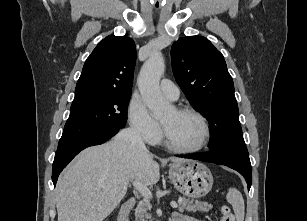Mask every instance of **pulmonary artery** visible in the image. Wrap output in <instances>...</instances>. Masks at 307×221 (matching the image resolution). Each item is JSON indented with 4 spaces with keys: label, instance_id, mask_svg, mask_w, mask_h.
Instances as JSON below:
<instances>
[{
    "label": "pulmonary artery",
    "instance_id": "e3ab8cb5",
    "mask_svg": "<svg viewBox=\"0 0 307 221\" xmlns=\"http://www.w3.org/2000/svg\"><path fill=\"white\" fill-rule=\"evenodd\" d=\"M160 90L164 96L171 100H177L180 94L179 88L169 79L161 81Z\"/></svg>",
    "mask_w": 307,
    "mask_h": 221
}]
</instances>
